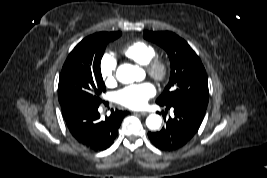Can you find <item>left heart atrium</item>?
I'll return each mask as SVG.
<instances>
[{
	"label": "left heart atrium",
	"mask_w": 267,
	"mask_h": 178,
	"mask_svg": "<svg viewBox=\"0 0 267 178\" xmlns=\"http://www.w3.org/2000/svg\"><path fill=\"white\" fill-rule=\"evenodd\" d=\"M156 93L155 87L150 82H143L126 86L116 92L115 100L118 104L129 109L143 108L148 100Z\"/></svg>",
	"instance_id": "obj_1"
}]
</instances>
